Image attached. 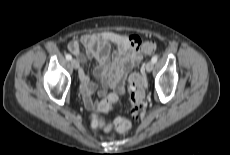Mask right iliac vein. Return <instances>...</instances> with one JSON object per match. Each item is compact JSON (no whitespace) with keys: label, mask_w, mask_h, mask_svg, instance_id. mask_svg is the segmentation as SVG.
I'll return each instance as SVG.
<instances>
[{"label":"right iliac vein","mask_w":230,"mask_h":155,"mask_svg":"<svg viewBox=\"0 0 230 155\" xmlns=\"http://www.w3.org/2000/svg\"><path fill=\"white\" fill-rule=\"evenodd\" d=\"M71 65L73 68L78 69L79 68V62L76 59H71Z\"/></svg>","instance_id":"right-iliac-vein-1"}]
</instances>
